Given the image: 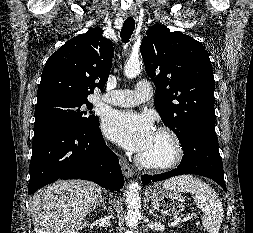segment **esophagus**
<instances>
[{
	"instance_id": "34e87169",
	"label": "esophagus",
	"mask_w": 253,
	"mask_h": 233,
	"mask_svg": "<svg viewBox=\"0 0 253 233\" xmlns=\"http://www.w3.org/2000/svg\"><path fill=\"white\" fill-rule=\"evenodd\" d=\"M133 15H135V12H133V11H127L126 12V16H133ZM119 160H120V165H121V169H122V172H123L124 176L126 178L132 177L133 176V171H132L130 165L127 163L126 159L123 158V157H120Z\"/></svg>"
}]
</instances>
